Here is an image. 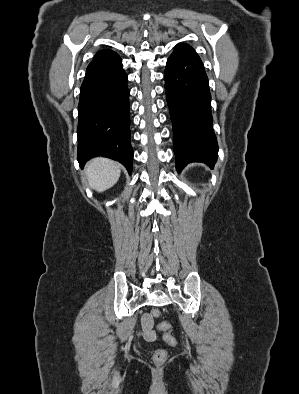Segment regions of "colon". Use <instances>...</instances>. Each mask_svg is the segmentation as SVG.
Wrapping results in <instances>:
<instances>
[{
	"label": "colon",
	"mask_w": 299,
	"mask_h": 394,
	"mask_svg": "<svg viewBox=\"0 0 299 394\" xmlns=\"http://www.w3.org/2000/svg\"><path fill=\"white\" fill-rule=\"evenodd\" d=\"M151 315L153 318H159L161 315V312L159 310H153ZM159 328L162 331H164V340L170 346H176L177 340L170 333V324L167 322H161L159 324ZM166 359H167V352L165 350L157 349L152 352V360L155 364H162L166 361Z\"/></svg>",
	"instance_id": "colon-1"
}]
</instances>
